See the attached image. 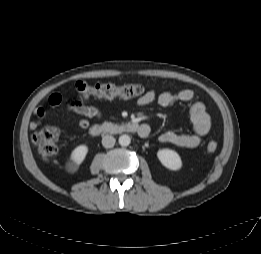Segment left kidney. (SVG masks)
<instances>
[{"label":"left kidney","instance_id":"5707ae66","mask_svg":"<svg viewBox=\"0 0 261 254\" xmlns=\"http://www.w3.org/2000/svg\"><path fill=\"white\" fill-rule=\"evenodd\" d=\"M157 157L163 166L170 170H179L182 167V161L177 152L170 149H160Z\"/></svg>","mask_w":261,"mask_h":254}]
</instances>
